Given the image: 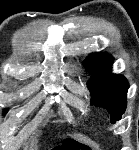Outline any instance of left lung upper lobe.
Segmentation results:
<instances>
[{
	"instance_id": "left-lung-upper-lobe-1",
	"label": "left lung upper lobe",
	"mask_w": 139,
	"mask_h": 150,
	"mask_svg": "<svg viewBox=\"0 0 139 150\" xmlns=\"http://www.w3.org/2000/svg\"><path fill=\"white\" fill-rule=\"evenodd\" d=\"M112 63L111 55L92 53L87 56L83 65L88 71H101L87 83L92 96L91 104L107 109L111 114V121L115 123L125 112L129 83L123 75L111 73Z\"/></svg>"
}]
</instances>
